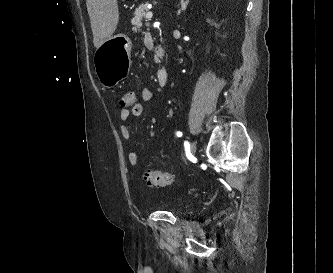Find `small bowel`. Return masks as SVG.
Listing matches in <instances>:
<instances>
[{
	"label": "small bowel",
	"mask_w": 333,
	"mask_h": 273,
	"mask_svg": "<svg viewBox=\"0 0 333 273\" xmlns=\"http://www.w3.org/2000/svg\"><path fill=\"white\" fill-rule=\"evenodd\" d=\"M141 98L144 102H150L153 99V92L150 88H143L141 90ZM144 112V106L142 103L135 101L130 109H123V107L119 110V120L124 123L128 121L130 116H135L139 117L143 114ZM119 132L120 135L123 139L129 140L130 138V131L128 127L124 124H121L119 127ZM127 160L128 163L133 167V168H138L139 167V157L138 154L135 151H130L127 154Z\"/></svg>",
	"instance_id": "1"
}]
</instances>
